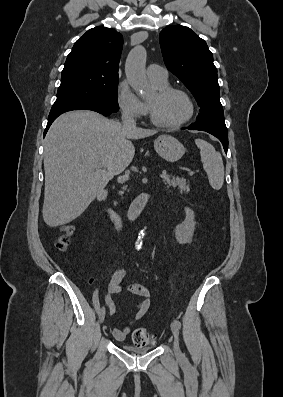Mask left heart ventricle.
I'll use <instances>...</instances> for the list:
<instances>
[{"label":"left heart ventricle","instance_id":"b2bd125f","mask_svg":"<svg viewBox=\"0 0 283 397\" xmlns=\"http://www.w3.org/2000/svg\"><path fill=\"white\" fill-rule=\"evenodd\" d=\"M149 100H155V93ZM189 112V102L180 93H171L156 103L157 116L161 121L166 123L178 122L187 117Z\"/></svg>","mask_w":283,"mask_h":397}]
</instances>
